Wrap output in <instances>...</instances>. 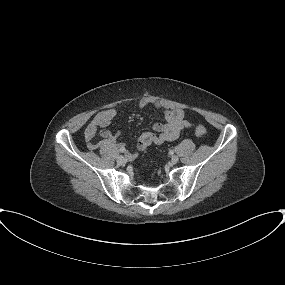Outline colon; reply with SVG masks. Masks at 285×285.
<instances>
[{
	"label": "colon",
	"mask_w": 285,
	"mask_h": 285,
	"mask_svg": "<svg viewBox=\"0 0 285 285\" xmlns=\"http://www.w3.org/2000/svg\"><path fill=\"white\" fill-rule=\"evenodd\" d=\"M195 133H196V135L198 137H203V136L206 135L207 132H206V129L203 126L199 125L195 129Z\"/></svg>",
	"instance_id": "obj_1"
}]
</instances>
